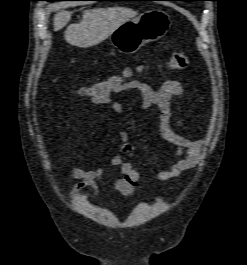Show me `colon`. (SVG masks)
Segmentation results:
<instances>
[{
	"label": "colon",
	"instance_id": "obj_1",
	"mask_svg": "<svg viewBox=\"0 0 247 265\" xmlns=\"http://www.w3.org/2000/svg\"><path fill=\"white\" fill-rule=\"evenodd\" d=\"M190 64V59L183 49H178L173 52L171 59L168 62L169 68L185 70ZM132 71L125 69L117 75H113L103 81L80 87L77 89V94L86 99L89 103L99 106H106L111 100L112 95L119 92L125 80L130 78ZM124 153L131 151V145L125 144L122 148Z\"/></svg>",
	"mask_w": 247,
	"mask_h": 265
}]
</instances>
